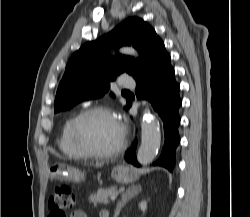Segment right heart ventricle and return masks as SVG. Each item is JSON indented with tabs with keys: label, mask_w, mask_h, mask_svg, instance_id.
Listing matches in <instances>:
<instances>
[{
	"label": "right heart ventricle",
	"mask_w": 250,
	"mask_h": 217,
	"mask_svg": "<svg viewBox=\"0 0 250 217\" xmlns=\"http://www.w3.org/2000/svg\"><path fill=\"white\" fill-rule=\"evenodd\" d=\"M74 117H75L74 115L70 116L63 123L60 136L58 139V146H59L60 151L68 158L81 159L84 156L73 144L72 139H71V134H70L71 124H72Z\"/></svg>",
	"instance_id": "right-heart-ventricle-1"
}]
</instances>
